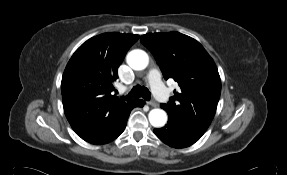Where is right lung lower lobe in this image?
Returning a JSON list of instances; mask_svg holds the SVG:
<instances>
[{
  "label": "right lung lower lobe",
  "instance_id": "right-lung-lower-lobe-1",
  "mask_svg": "<svg viewBox=\"0 0 287 175\" xmlns=\"http://www.w3.org/2000/svg\"><path fill=\"white\" fill-rule=\"evenodd\" d=\"M145 102L143 100H137L131 107L128 109L123 116L120 118L118 123L109 131L104 133L102 136L94 139L93 141H90L89 143L96 144V145H101V144H106L114 139H116L125 129L126 124H127V119L129 117V114L131 110L134 107H143Z\"/></svg>",
  "mask_w": 287,
  "mask_h": 175
}]
</instances>
